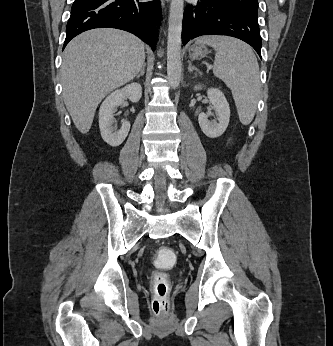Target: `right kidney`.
<instances>
[{"label":"right kidney","mask_w":333,"mask_h":346,"mask_svg":"<svg viewBox=\"0 0 333 346\" xmlns=\"http://www.w3.org/2000/svg\"><path fill=\"white\" fill-rule=\"evenodd\" d=\"M142 96V87L139 83H131L112 92L101 104L99 110V128L103 140L112 147L119 146L127 137L130 130V122L124 121L121 129L112 127L115 122L114 113L117 107L123 104L125 98L131 102H138Z\"/></svg>","instance_id":"ca27d5eb"}]
</instances>
